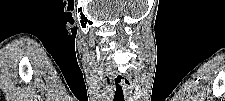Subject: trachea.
<instances>
[{"label": "trachea", "instance_id": "trachea-1", "mask_svg": "<svg viewBox=\"0 0 225 101\" xmlns=\"http://www.w3.org/2000/svg\"><path fill=\"white\" fill-rule=\"evenodd\" d=\"M114 101H124L122 86L117 85Z\"/></svg>", "mask_w": 225, "mask_h": 101}]
</instances>
